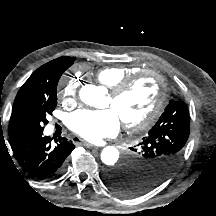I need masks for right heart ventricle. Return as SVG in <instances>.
Segmentation results:
<instances>
[{
    "mask_svg": "<svg viewBox=\"0 0 216 216\" xmlns=\"http://www.w3.org/2000/svg\"><path fill=\"white\" fill-rule=\"evenodd\" d=\"M140 69L132 65H113L101 68L96 72V79L105 87L111 89L126 77Z\"/></svg>",
    "mask_w": 216,
    "mask_h": 216,
    "instance_id": "e07e8e85",
    "label": "right heart ventricle"
}]
</instances>
